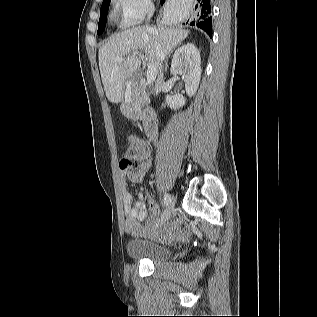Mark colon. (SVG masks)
<instances>
[{"label": "colon", "mask_w": 317, "mask_h": 317, "mask_svg": "<svg viewBox=\"0 0 317 317\" xmlns=\"http://www.w3.org/2000/svg\"><path fill=\"white\" fill-rule=\"evenodd\" d=\"M120 167L133 181L139 180L145 172V163L137 141H132L129 151L120 160Z\"/></svg>", "instance_id": "colon-1"}]
</instances>
